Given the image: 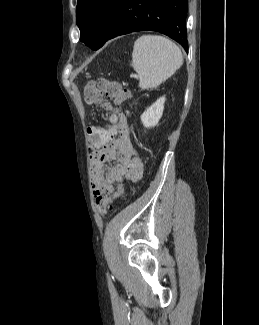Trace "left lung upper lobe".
Returning a JSON list of instances; mask_svg holds the SVG:
<instances>
[{
	"label": "left lung upper lobe",
	"instance_id": "5c2ea615",
	"mask_svg": "<svg viewBox=\"0 0 259 325\" xmlns=\"http://www.w3.org/2000/svg\"><path fill=\"white\" fill-rule=\"evenodd\" d=\"M122 0H78L76 23L80 40L93 50L103 46Z\"/></svg>",
	"mask_w": 259,
	"mask_h": 325
}]
</instances>
